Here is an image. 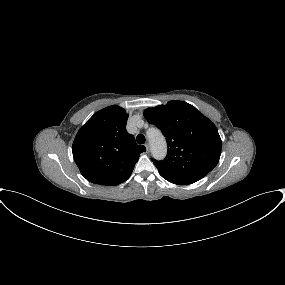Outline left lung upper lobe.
<instances>
[{
    "label": "left lung upper lobe",
    "mask_w": 285,
    "mask_h": 285,
    "mask_svg": "<svg viewBox=\"0 0 285 285\" xmlns=\"http://www.w3.org/2000/svg\"><path fill=\"white\" fill-rule=\"evenodd\" d=\"M144 116L167 140L166 158L153 160L161 176L200 180L217 165L222 145L218 130L194 106L170 101L146 109Z\"/></svg>",
    "instance_id": "obj_1"
}]
</instances>
